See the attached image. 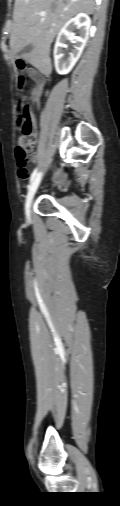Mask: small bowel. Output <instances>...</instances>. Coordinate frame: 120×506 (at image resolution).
<instances>
[{
  "label": "small bowel",
  "instance_id": "obj_1",
  "mask_svg": "<svg viewBox=\"0 0 120 506\" xmlns=\"http://www.w3.org/2000/svg\"><path fill=\"white\" fill-rule=\"evenodd\" d=\"M31 77L35 81V86L31 90V99H32V101L39 103L40 97H41V91H42V88L45 84V77L36 71L31 72ZM33 120H34V122L36 121L35 117H33Z\"/></svg>",
  "mask_w": 120,
  "mask_h": 506
}]
</instances>
